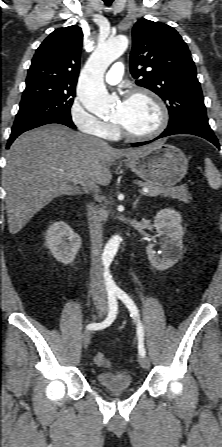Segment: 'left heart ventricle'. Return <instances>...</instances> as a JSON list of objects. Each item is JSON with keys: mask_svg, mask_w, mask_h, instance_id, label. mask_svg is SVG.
<instances>
[{"mask_svg": "<svg viewBox=\"0 0 222 447\" xmlns=\"http://www.w3.org/2000/svg\"><path fill=\"white\" fill-rule=\"evenodd\" d=\"M114 120L122 123L132 133L146 134L156 129L160 115L149 98L137 96L117 106Z\"/></svg>", "mask_w": 222, "mask_h": 447, "instance_id": "1", "label": "left heart ventricle"}]
</instances>
